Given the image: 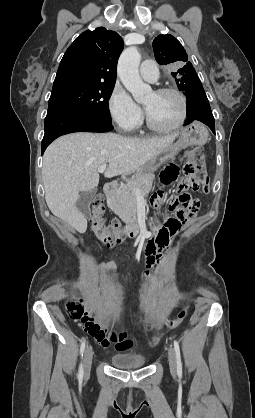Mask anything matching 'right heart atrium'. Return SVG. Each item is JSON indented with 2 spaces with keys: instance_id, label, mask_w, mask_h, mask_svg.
Here are the masks:
<instances>
[{
  "instance_id": "obj_1",
  "label": "right heart atrium",
  "mask_w": 255,
  "mask_h": 418,
  "mask_svg": "<svg viewBox=\"0 0 255 418\" xmlns=\"http://www.w3.org/2000/svg\"><path fill=\"white\" fill-rule=\"evenodd\" d=\"M108 112L117 127L125 132L133 131L142 122L141 108L129 93L119 86L113 89L109 97Z\"/></svg>"
}]
</instances>
